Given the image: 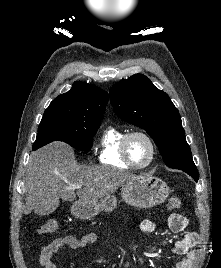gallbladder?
Masks as SVG:
<instances>
[{
  "label": "gallbladder",
  "instance_id": "gallbladder-1",
  "mask_svg": "<svg viewBox=\"0 0 221 268\" xmlns=\"http://www.w3.org/2000/svg\"><path fill=\"white\" fill-rule=\"evenodd\" d=\"M35 213L38 217H47L56 210L57 199H36Z\"/></svg>",
  "mask_w": 221,
  "mask_h": 268
}]
</instances>
